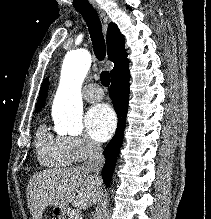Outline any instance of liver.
<instances>
[{
  "mask_svg": "<svg viewBox=\"0 0 211 219\" xmlns=\"http://www.w3.org/2000/svg\"><path fill=\"white\" fill-rule=\"evenodd\" d=\"M100 186L85 166L38 172L30 179L27 189L32 218L42 219L45 208L52 205L65 209L72 203L75 208L85 210L99 200Z\"/></svg>",
  "mask_w": 211,
  "mask_h": 219,
  "instance_id": "obj_1",
  "label": "liver"
}]
</instances>
